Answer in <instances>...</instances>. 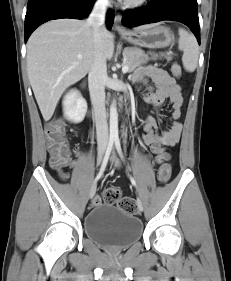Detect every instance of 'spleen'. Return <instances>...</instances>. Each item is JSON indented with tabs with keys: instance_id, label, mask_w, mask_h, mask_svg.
<instances>
[{
	"instance_id": "3e777b00",
	"label": "spleen",
	"mask_w": 231,
	"mask_h": 281,
	"mask_svg": "<svg viewBox=\"0 0 231 281\" xmlns=\"http://www.w3.org/2000/svg\"><path fill=\"white\" fill-rule=\"evenodd\" d=\"M179 44L178 47L183 51L182 62L186 71H195L198 58H199V47L194 35L190 34L183 28H179Z\"/></svg>"
}]
</instances>
